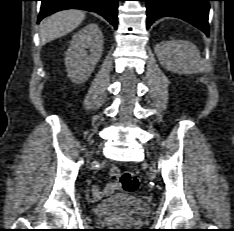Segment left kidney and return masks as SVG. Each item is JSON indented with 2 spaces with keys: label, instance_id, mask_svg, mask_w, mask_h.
<instances>
[{
  "label": "left kidney",
  "instance_id": "obj_1",
  "mask_svg": "<svg viewBox=\"0 0 234 231\" xmlns=\"http://www.w3.org/2000/svg\"><path fill=\"white\" fill-rule=\"evenodd\" d=\"M155 53L163 67L178 74H192L209 69L202 64L197 47L189 41H162L155 46Z\"/></svg>",
  "mask_w": 234,
  "mask_h": 231
}]
</instances>
